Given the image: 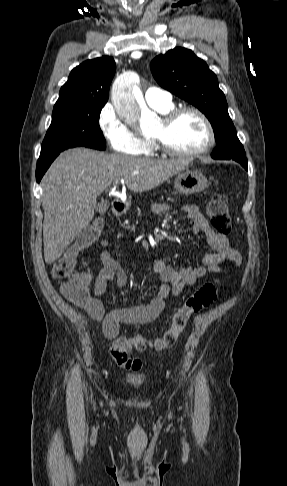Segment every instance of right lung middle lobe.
I'll return each mask as SVG.
<instances>
[{"label": "right lung middle lobe", "mask_w": 287, "mask_h": 486, "mask_svg": "<svg viewBox=\"0 0 287 486\" xmlns=\"http://www.w3.org/2000/svg\"><path fill=\"white\" fill-rule=\"evenodd\" d=\"M104 105L105 102H80L54 106L40 157L80 146L105 150V138L99 126Z\"/></svg>", "instance_id": "obj_1"}]
</instances>
